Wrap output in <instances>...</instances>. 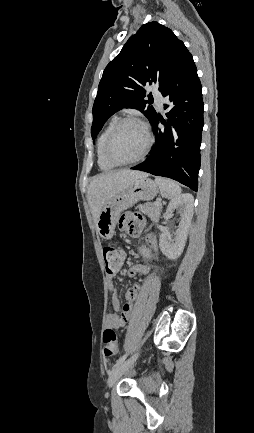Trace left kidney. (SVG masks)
<instances>
[{
	"label": "left kidney",
	"mask_w": 254,
	"mask_h": 433,
	"mask_svg": "<svg viewBox=\"0 0 254 433\" xmlns=\"http://www.w3.org/2000/svg\"><path fill=\"white\" fill-rule=\"evenodd\" d=\"M194 198L192 194L185 193L172 199L167 207V213L175 209L180 211L181 221L175 232L174 240L168 238L167 233H162L159 239V246L162 253L169 259H177L183 252L187 240L188 230L193 216Z\"/></svg>",
	"instance_id": "left-kidney-1"
}]
</instances>
